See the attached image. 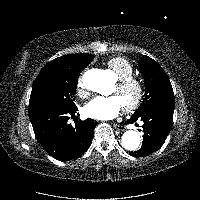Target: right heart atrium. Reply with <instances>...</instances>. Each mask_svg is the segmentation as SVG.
Listing matches in <instances>:
<instances>
[{
    "label": "right heart atrium",
    "mask_w": 200,
    "mask_h": 200,
    "mask_svg": "<svg viewBox=\"0 0 200 200\" xmlns=\"http://www.w3.org/2000/svg\"><path fill=\"white\" fill-rule=\"evenodd\" d=\"M76 89H77V94L79 96L85 97L87 95L82 75L77 79Z\"/></svg>",
    "instance_id": "obj_1"
}]
</instances>
